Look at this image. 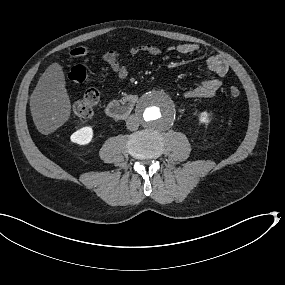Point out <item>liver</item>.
<instances>
[{
	"label": "liver",
	"instance_id": "obj_1",
	"mask_svg": "<svg viewBox=\"0 0 285 285\" xmlns=\"http://www.w3.org/2000/svg\"><path fill=\"white\" fill-rule=\"evenodd\" d=\"M62 66L52 63L40 77L31 97L30 110L37 130L48 135L70 117L71 104Z\"/></svg>",
	"mask_w": 285,
	"mask_h": 285
}]
</instances>
